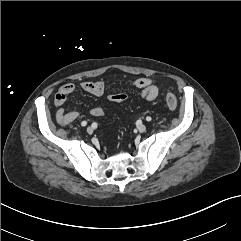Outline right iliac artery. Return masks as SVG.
Here are the masks:
<instances>
[{
    "label": "right iliac artery",
    "instance_id": "82829eb1",
    "mask_svg": "<svg viewBox=\"0 0 241 241\" xmlns=\"http://www.w3.org/2000/svg\"><path fill=\"white\" fill-rule=\"evenodd\" d=\"M81 125H82V126H86V125H87V122H86V121H82V122H81Z\"/></svg>",
    "mask_w": 241,
    "mask_h": 241
}]
</instances>
